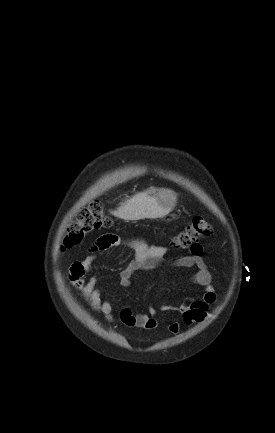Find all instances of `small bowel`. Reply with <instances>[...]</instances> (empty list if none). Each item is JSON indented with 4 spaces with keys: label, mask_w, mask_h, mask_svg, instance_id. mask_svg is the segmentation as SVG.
<instances>
[{
    "label": "small bowel",
    "mask_w": 275,
    "mask_h": 433,
    "mask_svg": "<svg viewBox=\"0 0 275 433\" xmlns=\"http://www.w3.org/2000/svg\"><path fill=\"white\" fill-rule=\"evenodd\" d=\"M126 243L134 252V259L125 264L120 272V285L128 287L131 284L132 275L138 270H148L156 266L168 253L165 246L151 245L142 239H134L124 242L117 234H106L101 236L92 247L93 253L104 251L108 248ZM203 247L197 244L191 250L190 255L179 257L174 265L184 268H195L191 276V282L203 288V293L197 298H187L177 310L182 315L186 325H192L204 320L211 305L216 301V293L211 285L212 276L207 263L201 257ZM95 254L87 256L82 261H74L70 267V283L81 291L83 298L97 312L102 314L106 320H114L113 306L108 299L103 298L101 290L97 287V276L88 277L94 262ZM164 310H171L170 306H163ZM158 311L150 308L148 314L133 313L128 308L120 311L119 319L128 328H140L154 330L157 327ZM170 333L177 335L181 326L178 322H171L168 326Z\"/></svg>",
    "instance_id": "c3829d8e"
}]
</instances>
